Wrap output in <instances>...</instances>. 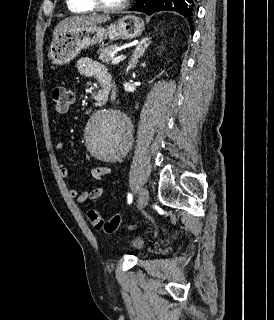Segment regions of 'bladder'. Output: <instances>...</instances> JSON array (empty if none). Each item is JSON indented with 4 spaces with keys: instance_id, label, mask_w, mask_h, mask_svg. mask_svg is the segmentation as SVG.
Segmentation results:
<instances>
[{
    "instance_id": "bladder-1",
    "label": "bladder",
    "mask_w": 274,
    "mask_h": 320,
    "mask_svg": "<svg viewBox=\"0 0 274 320\" xmlns=\"http://www.w3.org/2000/svg\"><path fill=\"white\" fill-rule=\"evenodd\" d=\"M127 245L135 251H140L144 248V242L141 239L129 240Z\"/></svg>"
}]
</instances>
